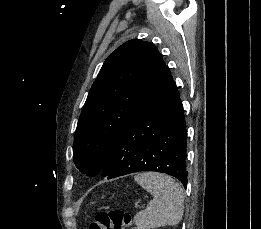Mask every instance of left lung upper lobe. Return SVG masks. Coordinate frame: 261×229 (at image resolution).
Segmentation results:
<instances>
[{
    "instance_id": "obj_1",
    "label": "left lung upper lobe",
    "mask_w": 261,
    "mask_h": 229,
    "mask_svg": "<svg viewBox=\"0 0 261 229\" xmlns=\"http://www.w3.org/2000/svg\"><path fill=\"white\" fill-rule=\"evenodd\" d=\"M171 78L158 49L133 39L104 62L78 120L73 142L76 166L95 176L135 114Z\"/></svg>"
}]
</instances>
